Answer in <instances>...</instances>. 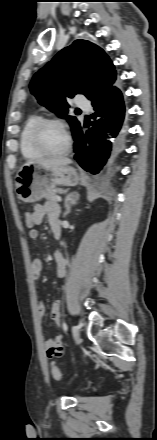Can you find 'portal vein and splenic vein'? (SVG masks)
<instances>
[{
  "label": "portal vein and splenic vein",
  "instance_id": "18ae733b",
  "mask_svg": "<svg viewBox=\"0 0 157 440\" xmlns=\"http://www.w3.org/2000/svg\"><path fill=\"white\" fill-rule=\"evenodd\" d=\"M56 201L61 202L62 198L60 196H56Z\"/></svg>",
  "mask_w": 157,
  "mask_h": 440
}]
</instances>
